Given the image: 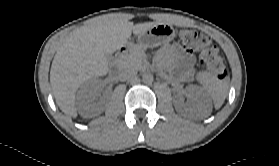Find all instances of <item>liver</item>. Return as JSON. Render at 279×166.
Instances as JSON below:
<instances>
[{
	"label": "liver",
	"mask_w": 279,
	"mask_h": 166,
	"mask_svg": "<svg viewBox=\"0 0 279 166\" xmlns=\"http://www.w3.org/2000/svg\"><path fill=\"white\" fill-rule=\"evenodd\" d=\"M158 23L133 24L122 14L104 15L71 32L59 46L50 70V83L57 105L77 117L75 94L89 79L105 76V54L123 47L131 34L140 35Z\"/></svg>",
	"instance_id": "liver-1"
}]
</instances>
